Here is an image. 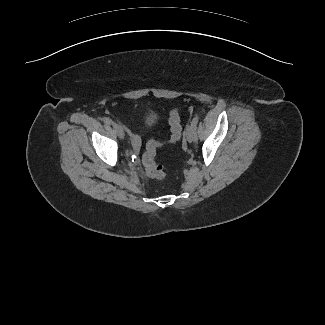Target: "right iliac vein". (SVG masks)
<instances>
[{
	"instance_id": "right-iliac-vein-1",
	"label": "right iliac vein",
	"mask_w": 325,
	"mask_h": 325,
	"mask_svg": "<svg viewBox=\"0 0 325 325\" xmlns=\"http://www.w3.org/2000/svg\"><path fill=\"white\" fill-rule=\"evenodd\" d=\"M112 125H113L114 131L116 132L118 137L120 139H124L125 134H124L123 128L117 123H113Z\"/></svg>"
}]
</instances>
